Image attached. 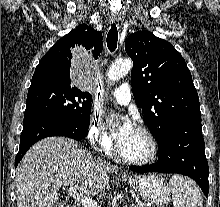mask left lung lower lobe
Instances as JSON below:
<instances>
[{
	"instance_id": "1",
	"label": "left lung lower lobe",
	"mask_w": 220,
	"mask_h": 207,
	"mask_svg": "<svg viewBox=\"0 0 220 207\" xmlns=\"http://www.w3.org/2000/svg\"><path fill=\"white\" fill-rule=\"evenodd\" d=\"M158 161L147 166L130 169L138 172L178 173L191 177L202 189L209 191V167L204 152L201 117H192L175 124L169 133L158 141Z\"/></svg>"
}]
</instances>
